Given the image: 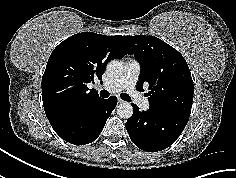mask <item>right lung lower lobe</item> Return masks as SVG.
Returning a JSON list of instances; mask_svg holds the SVG:
<instances>
[{"label":"right lung lower lobe","mask_w":236,"mask_h":178,"mask_svg":"<svg viewBox=\"0 0 236 178\" xmlns=\"http://www.w3.org/2000/svg\"><path fill=\"white\" fill-rule=\"evenodd\" d=\"M116 104L117 99L114 96L109 99H101L84 113L58 123L52 128L69 143L75 145L91 143L100 135Z\"/></svg>","instance_id":"1"}]
</instances>
